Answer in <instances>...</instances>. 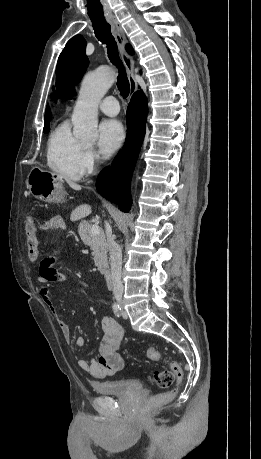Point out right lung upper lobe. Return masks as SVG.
I'll list each match as a JSON object with an SVG mask.
<instances>
[{"label":"right lung upper lobe","mask_w":261,"mask_h":459,"mask_svg":"<svg viewBox=\"0 0 261 459\" xmlns=\"http://www.w3.org/2000/svg\"><path fill=\"white\" fill-rule=\"evenodd\" d=\"M49 116H50V111H49V109L47 108L46 115H45V124H46V123H49V121H48V120H49Z\"/></svg>","instance_id":"right-lung-upper-lobe-1"}]
</instances>
